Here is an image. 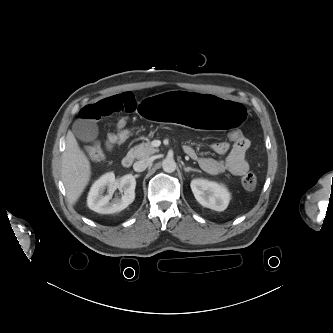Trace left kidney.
Wrapping results in <instances>:
<instances>
[{"mask_svg":"<svg viewBox=\"0 0 333 333\" xmlns=\"http://www.w3.org/2000/svg\"><path fill=\"white\" fill-rule=\"evenodd\" d=\"M191 189L196 200L204 207L215 211H224L230 201V193L216 182L195 179L191 182Z\"/></svg>","mask_w":333,"mask_h":333,"instance_id":"5707ae66","label":"left kidney"}]
</instances>
